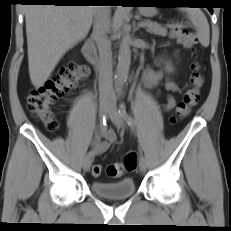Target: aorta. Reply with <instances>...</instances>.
Here are the masks:
<instances>
[{
	"mask_svg": "<svg viewBox=\"0 0 231 231\" xmlns=\"http://www.w3.org/2000/svg\"><path fill=\"white\" fill-rule=\"evenodd\" d=\"M124 32V36L119 46L118 65L115 74V87L118 90L123 86L128 77L129 67L131 63L129 33L126 27H124Z\"/></svg>",
	"mask_w": 231,
	"mask_h": 231,
	"instance_id": "1",
	"label": "aorta"
}]
</instances>
